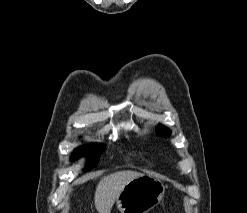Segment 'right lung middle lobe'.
Instances as JSON below:
<instances>
[{"label": "right lung middle lobe", "instance_id": "obj_1", "mask_svg": "<svg viewBox=\"0 0 247 213\" xmlns=\"http://www.w3.org/2000/svg\"><path fill=\"white\" fill-rule=\"evenodd\" d=\"M103 148H104L103 144H99V145L93 144L91 146V152L88 154L89 160H88L87 166L85 167L84 171L91 169L92 167H94L98 163L99 157H100V154H101ZM87 152H88V148H86V147L78 148L75 150V157L83 156Z\"/></svg>", "mask_w": 247, "mask_h": 213}]
</instances>
